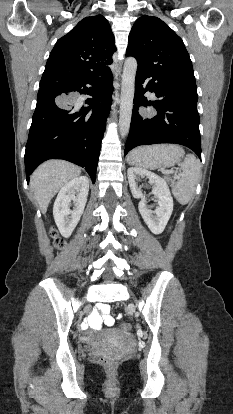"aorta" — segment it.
I'll return each instance as SVG.
<instances>
[{
  "label": "aorta",
  "instance_id": "1",
  "mask_svg": "<svg viewBox=\"0 0 233 414\" xmlns=\"http://www.w3.org/2000/svg\"><path fill=\"white\" fill-rule=\"evenodd\" d=\"M137 71V61L133 57H128L124 63L121 99H120V116L119 131L121 136H126L130 129L133 99L135 91V76Z\"/></svg>",
  "mask_w": 233,
  "mask_h": 414
}]
</instances>
